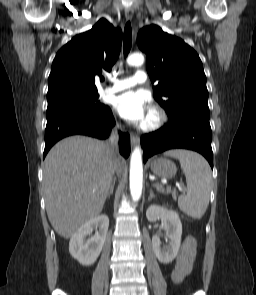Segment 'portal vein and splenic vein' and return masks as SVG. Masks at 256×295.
I'll use <instances>...</instances> for the list:
<instances>
[{
    "instance_id": "obj_1",
    "label": "portal vein and splenic vein",
    "mask_w": 256,
    "mask_h": 295,
    "mask_svg": "<svg viewBox=\"0 0 256 295\" xmlns=\"http://www.w3.org/2000/svg\"><path fill=\"white\" fill-rule=\"evenodd\" d=\"M156 184H154V186H155ZM177 186L179 187V188H181L182 187V185H180V184H177Z\"/></svg>"
}]
</instances>
